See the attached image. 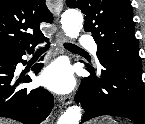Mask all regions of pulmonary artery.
<instances>
[{"instance_id":"obj_1","label":"pulmonary artery","mask_w":145,"mask_h":124,"mask_svg":"<svg viewBox=\"0 0 145 124\" xmlns=\"http://www.w3.org/2000/svg\"><path fill=\"white\" fill-rule=\"evenodd\" d=\"M79 44L82 47L89 49L94 55L97 53V46L93 42L92 36L88 34H84L81 36Z\"/></svg>"}]
</instances>
